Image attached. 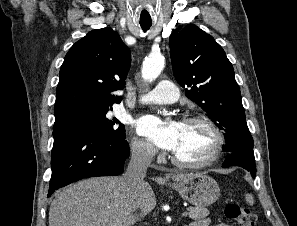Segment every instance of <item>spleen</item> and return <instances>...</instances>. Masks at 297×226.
Returning <instances> with one entry per match:
<instances>
[{
  "label": "spleen",
  "instance_id": "spleen-1",
  "mask_svg": "<svg viewBox=\"0 0 297 226\" xmlns=\"http://www.w3.org/2000/svg\"><path fill=\"white\" fill-rule=\"evenodd\" d=\"M245 200H246V203L249 204V205L254 204V197H253L252 194L246 193L245 194Z\"/></svg>",
  "mask_w": 297,
  "mask_h": 226
}]
</instances>
